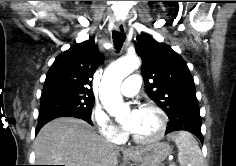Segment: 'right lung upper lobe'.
Returning a JSON list of instances; mask_svg holds the SVG:
<instances>
[{
	"mask_svg": "<svg viewBox=\"0 0 236 166\" xmlns=\"http://www.w3.org/2000/svg\"><path fill=\"white\" fill-rule=\"evenodd\" d=\"M102 55L90 38L59 54L47 73L43 92L55 89L93 95L92 81Z\"/></svg>",
	"mask_w": 236,
	"mask_h": 166,
	"instance_id": "1",
	"label": "right lung upper lobe"
}]
</instances>
